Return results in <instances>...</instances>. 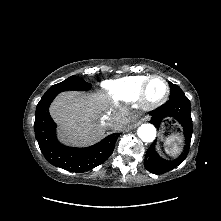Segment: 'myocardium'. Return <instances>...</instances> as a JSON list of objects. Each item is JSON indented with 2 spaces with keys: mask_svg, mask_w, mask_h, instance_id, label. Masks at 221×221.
<instances>
[{
  "mask_svg": "<svg viewBox=\"0 0 221 221\" xmlns=\"http://www.w3.org/2000/svg\"><path fill=\"white\" fill-rule=\"evenodd\" d=\"M155 79H159L164 83L165 94L158 100H150L148 98L147 92H148V88H149L151 82ZM169 95H170V85H169L168 81L165 78H163L162 76L152 75L145 81V83L143 84V86L141 88L140 95L138 98L139 106L144 110H151V109L157 108V107L161 106L162 104H164L168 100Z\"/></svg>",
  "mask_w": 221,
  "mask_h": 221,
  "instance_id": "f54148a6",
  "label": "myocardium"
}]
</instances>
